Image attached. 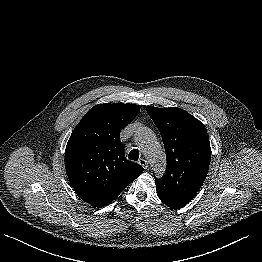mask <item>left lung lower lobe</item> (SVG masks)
I'll use <instances>...</instances> for the list:
<instances>
[{
	"label": "left lung lower lobe",
	"instance_id": "1",
	"mask_svg": "<svg viewBox=\"0 0 262 262\" xmlns=\"http://www.w3.org/2000/svg\"><path fill=\"white\" fill-rule=\"evenodd\" d=\"M159 197V196H158ZM160 198V200L164 203V204H166L167 206H169L170 208H172V209H178V208H182L183 206H185V205H183V204H180V203H177V202H172V201H169V200H165V199H163V198H161V197H159Z\"/></svg>",
	"mask_w": 262,
	"mask_h": 262
}]
</instances>
